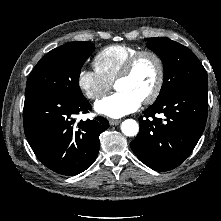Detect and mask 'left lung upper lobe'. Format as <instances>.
<instances>
[{
  "label": "left lung upper lobe",
  "instance_id": "left-lung-upper-lobe-1",
  "mask_svg": "<svg viewBox=\"0 0 221 221\" xmlns=\"http://www.w3.org/2000/svg\"><path fill=\"white\" fill-rule=\"evenodd\" d=\"M147 47L161 58L164 67V81L155 103L183 87L207 84L204 67L187 47L168 38H149Z\"/></svg>",
  "mask_w": 221,
  "mask_h": 221
}]
</instances>
